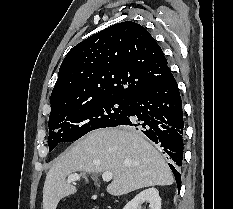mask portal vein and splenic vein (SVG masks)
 I'll use <instances>...</instances> for the list:
<instances>
[{
    "mask_svg": "<svg viewBox=\"0 0 233 209\" xmlns=\"http://www.w3.org/2000/svg\"><path fill=\"white\" fill-rule=\"evenodd\" d=\"M80 177H81V175H79V174H72V175H69V176H68V182L78 180V179H80ZM112 177H113V174H112V172H109V171L104 172V173L102 174V179H103V181H105V182H109V181L112 179Z\"/></svg>",
    "mask_w": 233,
    "mask_h": 209,
    "instance_id": "portal-vein-and-splenic-vein-1",
    "label": "portal vein and splenic vein"
}]
</instances>
